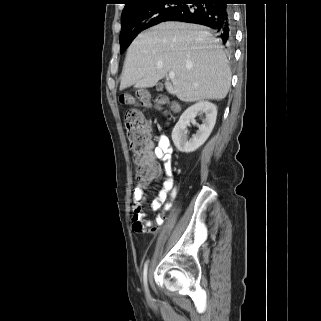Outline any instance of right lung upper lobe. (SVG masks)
<instances>
[{
	"instance_id": "obj_1",
	"label": "right lung upper lobe",
	"mask_w": 321,
	"mask_h": 321,
	"mask_svg": "<svg viewBox=\"0 0 321 321\" xmlns=\"http://www.w3.org/2000/svg\"><path fill=\"white\" fill-rule=\"evenodd\" d=\"M125 7L122 11V17H125L127 15L133 14L143 6L147 5L151 1L155 0H125Z\"/></svg>"
}]
</instances>
